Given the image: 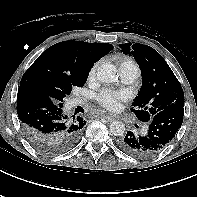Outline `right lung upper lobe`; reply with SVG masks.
Listing matches in <instances>:
<instances>
[{"label": "right lung upper lobe", "instance_id": "right-lung-upper-lobe-1", "mask_svg": "<svg viewBox=\"0 0 197 197\" xmlns=\"http://www.w3.org/2000/svg\"><path fill=\"white\" fill-rule=\"evenodd\" d=\"M113 49L108 43L63 41L46 49L26 71L20 87H28L27 79L35 72L47 70L73 80L88 77L93 64Z\"/></svg>", "mask_w": 197, "mask_h": 197}]
</instances>
